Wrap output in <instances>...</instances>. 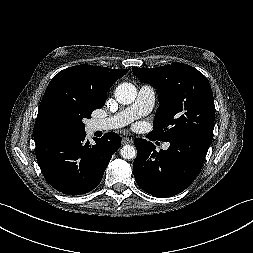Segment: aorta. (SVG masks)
I'll use <instances>...</instances> for the list:
<instances>
[{
  "instance_id": "obj_1",
  "label": "aorta",
  "mask_w": 253,
  "mask_h": 253,
  "mask_svg": "<svg viewBox=\"0 0 253 253\" xmlns=\"http://www.w3.org/2000/svg\"><path fill=\"white\" fill-rule=\"evenodd\" d=\"M114 95L120 104H131L137 96V89L133 84L125 82L116 87ZM120 153L124 159H133L137 154L135 147L131 145L123 146Z\"/></svg>"
}]
</instances>
